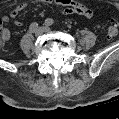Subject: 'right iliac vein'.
<instances>
[{
	"label": "right iliac vein",
	"instance_id": "obj_1",
	"mask_svg": "<svg viewBox=\"0 0 119 119\" xmlns=\"http://www.w3.org/2000/svg\"><path fill=\"white\" fill-rule=\"evenodd\" d=\"M34 33H35V36H41L44 33V29L38 28Z\"/></svg>",
	"mask_w": 119,
	"mask_h": 119
}]
</instances>
